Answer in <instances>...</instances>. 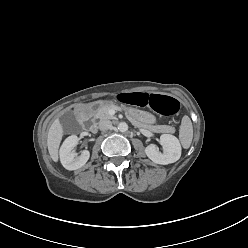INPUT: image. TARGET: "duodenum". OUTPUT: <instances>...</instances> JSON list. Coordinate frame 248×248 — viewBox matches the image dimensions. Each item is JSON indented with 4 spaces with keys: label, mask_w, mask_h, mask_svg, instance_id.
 Returning a JSON list of instances; mask_svg holds the SVG:
<instances>
[{
    "label": "duodenum",
    "mask_w": 248,
    "mask_h": 248,
    "mask_svg": "<svg viewBox=\"0 0 248 248\" xmlns=\"http://www.w3.org/2000/svg\"><path fill=\"white\" fill-rule=\"evenodd\" d=\"M93 117H94V111H91L90 109H84L79 114V120L83 124L90 122V120ZM89 130L91 132L97 131V124L94 123V122H90V124H89Z\"/></svg>",
    "instance_id": "410a0bca"
}]
</instances>
